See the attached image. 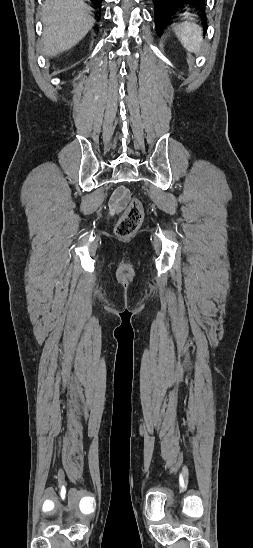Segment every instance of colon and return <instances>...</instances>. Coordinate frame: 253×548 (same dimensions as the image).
I'll use <instances>...</instances> for the list:
<instances>
[{"instance_id": "obj_1", "label": "colon", "mask_w": 253, "mask_h": 548, "mask_svg": "<svg viewBox=\"0 0 253 548\" xmlns=\"http://www.w3.org/2000/svg\"><path fill=\"white\" fill-rule=\"evenodd\" d=\"M144 217L141 201L133 198L115 226V233L120 238L131 237L140 227Z\"/></svg>"}]
</instances>
